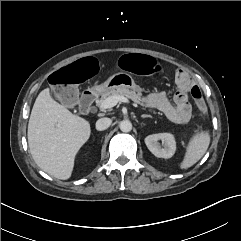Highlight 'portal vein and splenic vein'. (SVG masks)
Listing matches in <instances>:
<instances>
[{"label":"portal vein and splenic vein","instance_id":"18ae733b","mask_svg":"<svg viewBox=\"0 0 241 241\" xmlns=\"http://www.w3.org/2000/svg\"><path fill=\"white\" fill-rule=\"evenodd\" d=\"M118 102L129 103L130 101L128 100V98L124 96H112L102 102V104L100 105V109L106 110V109L112 108L115 105H117Z\"/></svg>","mask_w":241,"mask_h":241}]
</instances>
